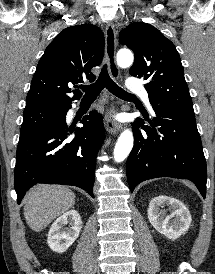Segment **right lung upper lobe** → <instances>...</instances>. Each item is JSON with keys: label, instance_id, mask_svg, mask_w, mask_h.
<instances>
[{"label": "right lung upper lobe", "instance_id": "obj_1", "mask_svg": "<svg viewBox=\"0 0 215 274\" xmlns=\"http://www.w3.org/2000/svg\"><path fill=\"white\" fill-rule=\"evenodd\" d=\"M103 51L104 36L97 26L81 24L60 32L37 65L25 110L71 107L81 92L74 90L71 98L69 86L83 82V78L90 82L95 80L91 69L101 63Z\"/></svg>", "mask_w": 215, "mask_h": 274}]
</instances>
